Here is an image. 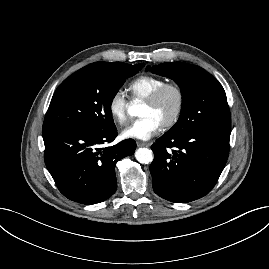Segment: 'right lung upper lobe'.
I'll return each mask as SVG.
<instances>
[{"label": "right lung upper lobe", "instance_id": "1", "mask_svg": "<svg viewBox=\"0 0 269 269\" xmlns=\"http://www.w3.org/2000/svg\"><path fill=\"white\" fill-rule=\"evenodd\" d=\"M104 63H109V62H104ZM121 62H113V63H110V64H119Z\"/></svg>", "mask_w": 269, "mask_h": 269}]
</instances>
